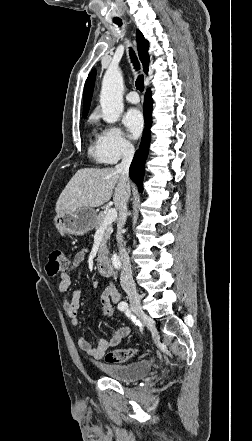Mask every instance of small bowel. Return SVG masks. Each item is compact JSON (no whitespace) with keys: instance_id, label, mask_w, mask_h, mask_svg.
<instances>
[{"instance_id":"1","label":"small bowel","mask_w":252,"mask_h":441,"mask_svg":"<svg viewBox=\"0 0 252 441\" xmlns=\"http://www.w3.org/2000/svg\"><path fill=\"white\" fill-rule=\"evenodd\" d=\"M87 250L83 249L78 251L68 267L60 274L58 291L65 293L68 291L71 279L70 272L77 268L85 259ZM81 291L74 290L71 297L65 298L63 301V309L67 316L70 318L73 326L79 324L77 317L78 310L80 308ZM120 301V293L116 284L113 281H109L101 295V303L104 305L115 306ZM131 332V329L127 326L120 327L116 329L109 336L108 339H99L95 345L90 343V341L84 337L79 338L78 346L81 350L87 353L89 356L95 359L104 358L108 350L118 346L124 338H126Z\"/></svg>"}]
</instances>
